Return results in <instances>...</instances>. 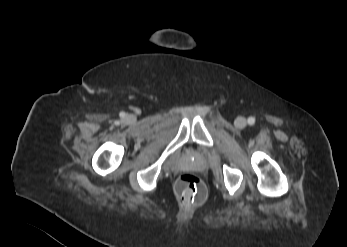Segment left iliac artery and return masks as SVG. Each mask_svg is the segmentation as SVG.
<instances>
[{
    "label": "left iliac artery",
    "mask_w": 347,
    "mask_h": 247,
    "mask_svg": "<svg viewBox=\"0 0 347 247\" xmlns=\"http://www.w3.org/2000/svg\"><path fill=\"white\" fill-rule=\"evenodd\" d=\"M255 123V118L254 117H249L248 118V124L253 125Z\"/></svg>",
    "instance_id": "left-iliac-artery-1"
}]
</instances>
